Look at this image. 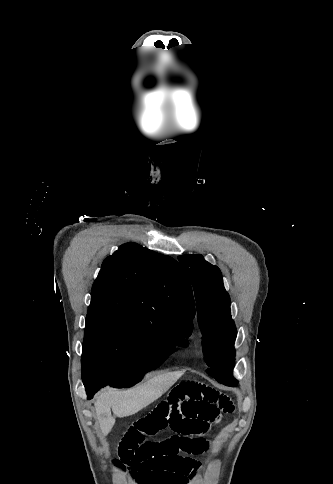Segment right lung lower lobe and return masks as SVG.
<instances>
[{
    "label": "right lung lower lobe",
    "instance_id": "1",
    "mask_svg": "<svg viewBox=\"0 0 333 484\" xmlns=\"http://www.w3.org/2000/svg\"><path fill=\"white\" fill-rule=\"evenodd\" d=\"M104 384L105 383H101V384H93V383L84 384L85 385V388H86L87 395H88V399L92 398L93 397V394L98 389H100L101 387H103Z\"/></svg>",
    "mask_w": 333,
    "mask_h": 484
}]
</instances>
